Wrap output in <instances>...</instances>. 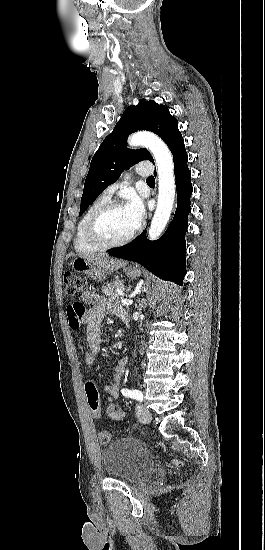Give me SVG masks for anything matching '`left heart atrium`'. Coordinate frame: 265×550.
<instances>
[{"label":"left heart atrium","instance_id":"39dd6f15","mask_svg":"<svg viewBox=\"0 0 265 550\" xmlns=\"http://www.w3.org/2000/svg\"><path fill=\"white\" fill-rule=\"evenodd\" d=\"M125 208L132 220L134 228L137 229L141 225L145 216L143 202L137 196H132L125 205Z\"/></svg>","mask_w":265,"mask_h":550}]
</instances>
